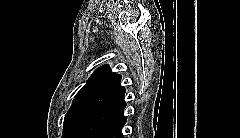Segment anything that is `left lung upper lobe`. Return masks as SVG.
Instances as JSON below:
<instances>
[{
	"label": "left lung upper lobe",
	"mask_w": 240,
	"mask_h": 138,
	"mask_svg": "<svg viewBox=\"0 0 240 138\" xmlns=\"http://www.w3.org/2000/svg\"><path fill=\"white\" fill-rule=\"evenodd\" d=\"M121 76L109 70L107 65L99 67L86 85L76 94L65 115L62 138H78L97 112L120 88Z\"/></svg>",
	"instance_id": "1"
}]
</instances>
